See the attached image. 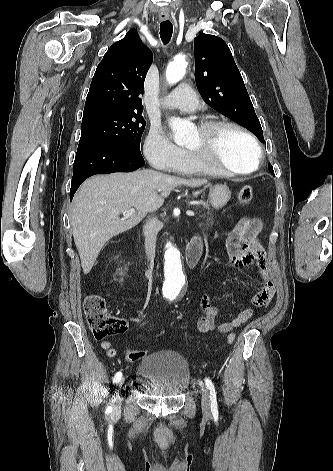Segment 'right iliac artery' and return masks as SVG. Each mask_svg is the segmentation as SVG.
I'll use <instances>...</instances> for the list:
<instances>
[{"label": "right iliac artery", "instance_id": "right-iliac-artery-1", "mask_svg": "<svg viewBox=\"0 0 333 471\" xmlns=\"http://www.w3.org/2000/svg\"><path fill=\"white\" fill-rule=\"evenodd\" d=\"M121 377H122V372L121 371L117 372L113 378V383H118ZM111 411H112V407L108 406L107 412H111Z\"/></svg>", "mask_w": 333, "mask_h": 471}]
</instances>
